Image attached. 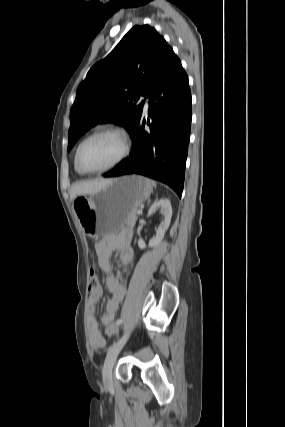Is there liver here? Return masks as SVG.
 <instances>
[{
  "label": "liver",
  "instance_id": "obj_1",
  "mask_svg": "<svg viewBox=\"0 0 285 427\" xmlns=\"http://www.w3.org/2000/svg\"><path fill=\"white\" fill-rule=\"evenodd\" d=\"M113 179H96L75 183L70 191V199L79 195H89L105 188Z\"/></svg>",
  "mask_w": 285,
  "mask_h": 427
}]
</instances>
